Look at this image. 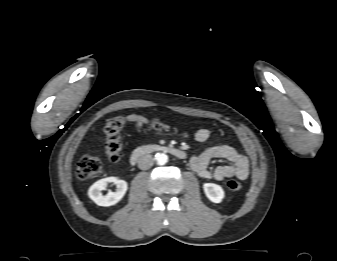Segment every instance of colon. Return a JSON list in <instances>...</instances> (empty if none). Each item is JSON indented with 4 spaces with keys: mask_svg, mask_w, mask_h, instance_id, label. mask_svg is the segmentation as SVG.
Returning a JSON list of instances; mask_svg holds the SVG:
<instances>
[{
    "mask_svg": "<svg viewBox=\"0 0 337 261\" xmlns=\"http://www.w3.org/2000/svg\"><path fill=\"white\" fill-rule=\"evenodd\" d=\"M130 120L125 116H116L109 119L105 125V154L111 162H117L120 159L122 150V141L120 137V131ZM138 126H147L157 130H176L175 127L167 122L158 119H146L135 121ZM102 171V163L100 159L94 156L85 155L82 156L77 163L76 176L80 180H88ZM226 186L231 191H238L242 185L240 181L236 179H230L227 181Z\"/></svg>",
    "mask_w": 337,
    "mask_h": 261,
    "instance_id": "colon-1",
    "label": "colon"
}]
</instances>
